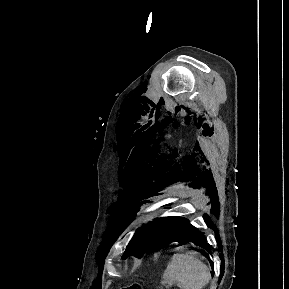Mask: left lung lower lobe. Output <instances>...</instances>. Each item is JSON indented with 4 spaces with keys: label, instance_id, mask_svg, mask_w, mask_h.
Masks as SVG:
<instances>
[{
    "label": "left lung lower lobe",
    "instance_id": "left-lung-lower-lobe-1",
    "mask_svg": "<svg viewBox=\"0 0 289 289\" xmlns=\"http://www.w3.org/2000/svg\"><path fill=\"white\" fill-rule=\"evenodd\" d=\"M165 223L167 224V243L173 241H191L207 251H210L203 233L193 227L187 219L182 217H170L166 219Z\"/></svg>",
    "mask_w": 289,
    "mask_h": 289
}]
</instances>
